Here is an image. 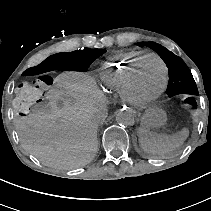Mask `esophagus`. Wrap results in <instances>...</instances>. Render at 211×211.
<instances>
[{"label":"esophagus","mask_w":211,"mask_h":211,"mask_svg":"<svg viewBox=\"0 0 211 211\" xmlns=\"http://www.w3.org/2000/svg\"><path fill=\"white\" fill-rule=\"evenodd\" d=\"M117 109L120 112H125V113H128V114H131L134 111L133 106L128 105V104H123V103L118 104Z\"/></svg>","instance_id":"esophagus-1"}]
</instances>
